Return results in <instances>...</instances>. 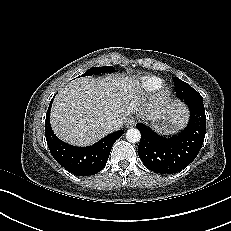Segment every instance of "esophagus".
I'll list each match as a JSON object with an SVG mask.
<instances>
[{"mask_svg":"<svg viewBox=\"0 0 231 231\" xmlns=\"http://www.w3.org/2000/svg\"><path fill=\"white\" fill-rule=\"evenodd\" d=\"M136 124V120H135V118H130V119H128V121H127V126L128 127H132V126H134Z\"/></svg>","mask_w":231,"mask_h":231,"instance_id":"esophagus-1","label":"esophagus"}]
</instances>
